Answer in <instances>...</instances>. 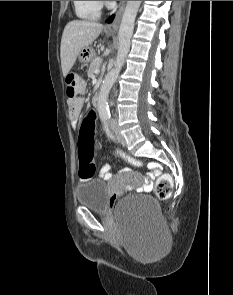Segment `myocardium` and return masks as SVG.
<instances>
[{
	"mask_svg": "<svg viewBox=\"0 0 233 295\" xmlns=\"http://www.w3.org/2000/svg\"><path fill=\"white\" fill-rule=\"evenodd\" d=\"M101 4H107L108 1H99Z\"/></svg>",
	"mask_w": 233,
	"mask_h": 295,
	"instance_id": "myocardium-1",
	"label": "myocardium"
}]
</instances>
